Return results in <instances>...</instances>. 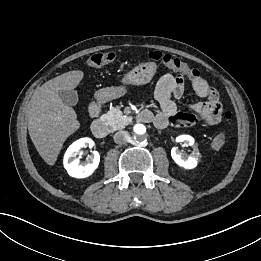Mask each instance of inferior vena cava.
Returning a JSON list of instances; mask_svg holds the SVG:
<instances>
[{"instance_id":"inferior-vena-cava-1","label":"inferior vena cava","mask_w":261,"mask_h":261,"mask_svg":"<svg viewBox=\"0 0 261 261\" xmlns=\"http://www.w3.org/2000/svg\"><path fill=\"white\" fill-rule=\"evenodd\" d=\"M128 132L127 131H118L114 134L113 139L117 144H124L127 141Z\"/></svg>"}]
</instances>
